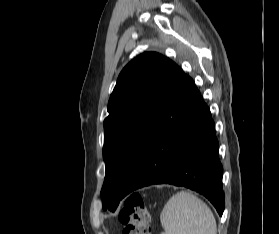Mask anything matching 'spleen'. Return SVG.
Listing matches in <instances>:
<instances>
[{
	"mask_svg": "<svg viewBox=\"0 0 279 234\" xmlns=\"http://www.w3.org/2000/svg\"><path fill=\"white\" fill-rule=\"evenodd\" d=\"M162 234H216L217 226L211 209L191 193L173 195L160 214Z\"/></svg>",
	"mask_w": 279,
	"mask_h": 234,
	"instance_id": "spleen-1",
	"label": "spleen"
}]
</instances>
